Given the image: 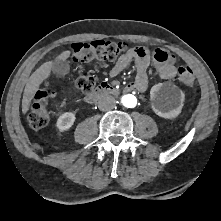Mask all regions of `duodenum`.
I'll use <instances>...</instances> for the list:
<instances>
[{
    "label": "duodenum",
    "instance_id": "410a0bca",
    "mask_svg": "<svg viewBox=\"0 0 221 221\" xmlns=\"http://www.w3.org/2000/svg\"><path fill=\"white\" fill-rule=\"evenodd\" d=\"M130 90L131 88L129 86L125 88V92ZM117 94H119V90H117L115 87L107 83H102L97 86L90 94H88L85 97V100L89 103H93L105 96Z\"/></svg>",
    "mask_w": 221,
    "mask_h": 221
}]
</instances>
